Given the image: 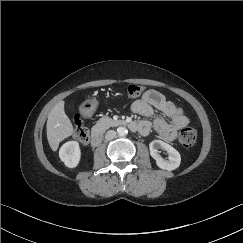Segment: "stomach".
Masks as SVG:
<instances>
[{"mask_svg":"<svg viewBox=\"0 0 243 243\" xmlns=\"http://www.w3.org/2000/svg\"><path fill=\"white\" fill-rule=\"evenodd\" d=\"M97 106H98V101L95 99H92V100H87L86 102H84L82 104L81 108L85 112H93L94 110H96Z\"/></svg>","mask_w":243,"mask_h":243,"instance_id":"0dacf381","label":"stomach"}]
</instances>
